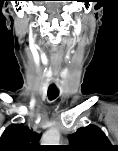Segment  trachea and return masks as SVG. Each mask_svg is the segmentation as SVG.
Masks as SVG:
<instances>
[{
    "mask_svg": "<svg viewBox=\"0 0 118 151\" xmlns=\"http://www.w3.org/2000/svg\"><path fill=\"white\" fill-rule=\"evenodd\" d=\"M56 94H48V98H49V100H53V99H55L56 98Z\"/></svg>",
    "mask_w": 118,
    "mask_h": 151,
    "instance_id": "1",
    "label": "trachea"
}]
</instances>
